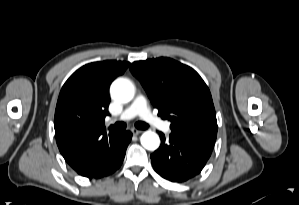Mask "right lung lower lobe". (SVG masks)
Here are the masks:
<instances>
[{"mask_svg": "<svg viewBox=\"0 0 299 205\" xmlns=\"http://www.w3.org/2000/svg\"><path fill=\"white\" fill-rule=\"evenodd\" d=\"M132 133L127 131L108 145L91 154L77 169V173L90 179H100L114 173L121 166Z\"/></svg>", "mask_w": 299, "mask_h": 205, "instance_id": "right-lung-lower-lobe-1", "label": "right lung lower lobe"}]
</instances>
